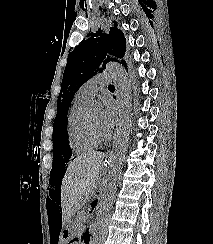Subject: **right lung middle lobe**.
<instances>
[{
  "label": "right lung middle lobe",
  "mask_w": 213,
  "mask_h": 244,
  "mask_svg": "<svg viewBox=\"0 0 213 244\" xmlns=\"http://www.w3.org/2000/svg\"><path fill=\"white\" fill-rule=\"evenodd\" d=\"M59 140H57L55 137L53 138V148H54V155H53V166H52V170L50 172V176L52 174H54L55 172H57L61 166H64V162H66L69 158H66L64 155V161H63V157L60 154V151H62V153L66 152L67 149L69 148V145L67 144L66 147L67 149L64 148V145H59ZM58 146V148H57ZM60 148V149H59Z\"/></svg>",
  "instance_id": "1"
}]
</instances>
